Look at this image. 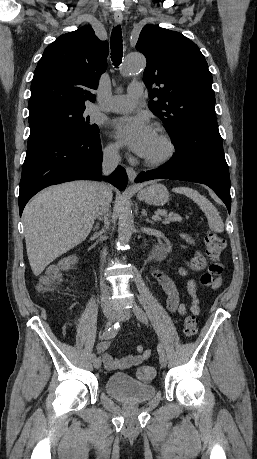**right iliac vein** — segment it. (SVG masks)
<instances>
[{
  "instance_id": "right-iliac-vein-1",
  "label": "right iliac vein",
  "mask_w": 257,
  "mask_h": 459,
  "mask_svg": "<svg viewBox=\"0 0 257 459\" xmlns=\"http://www.w3.org/2000/svg\"><path fill=\"white\" fill-rule=\"evenodd\" d=\"M103 313H104V316L107 318L108 325H111L116 319L114 311L110 307L107 306L103 309ZM93 366L95 369H99L101 367V359L100 358L94 359Z\"/></svg>"
}]
</instances>
